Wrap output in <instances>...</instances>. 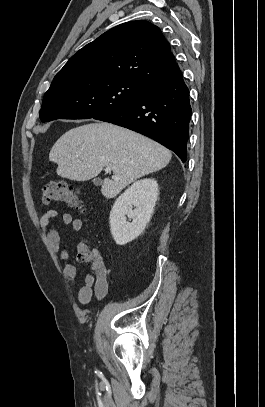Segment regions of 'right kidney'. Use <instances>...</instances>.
Listing matches in <instances>:
<instances>
[{
	"label": "right kidney",
	"mask_w": 265,
	"mask_h": 407,
	"mask_svg": "<svg viewBox=\"0 0 265 407\" xmlns=\"http://www.w3.org/2000/svg\"><path fill=\"white\" fill-rule=\"evenodd\" d=\"M157 198L158 183L149 178L134 182L116 199L109 219L117 245H125L142 233L152 217Z\"/></svg>",
	"instance_id": "1"
}]
</instances>
